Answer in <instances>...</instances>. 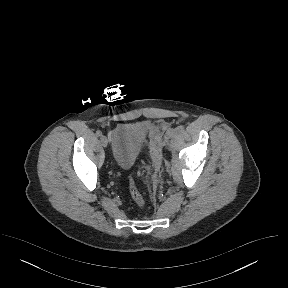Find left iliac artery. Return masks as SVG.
<instances>
[{
    "instance_id": "left-iliac-artery-1",
    "label": "left iliac artery",
    "mask_w": 288,
    "mask_h": 288,
    "mask_svg": "<svg viewBox=\"0 0 288 288\" xmlns=\"http://www.w3.org/2000/svg\"><path fill=\"white\" fill-rule=\"evenodd\" d=\"M184 130V127L183 126H178L175 131L176 132H182Z\"/></svg>"
}]
</instances>
